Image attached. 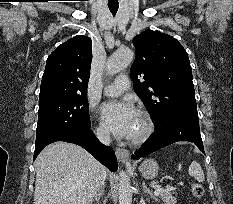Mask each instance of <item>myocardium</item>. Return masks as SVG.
<instances>
[{
	"instance_id": "1",
	"label": "myocardium",
	"mask_w": 233,
	"mask_h": 204,
	"mask_svg": "<svg viewBox=\"0 0 233 204\" xmlns=\"http://www.w3.org/2000/svg\"><path fill=\"white\" fill-rule=\"evenodd\" d=\"M137 114L141 117L143 126L141 132L130 139L134 145L145 143L152 136L155 129L152 117L147 111L140 109L137 111Z\"/></svg>"
}]
</instances>
